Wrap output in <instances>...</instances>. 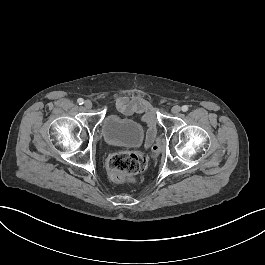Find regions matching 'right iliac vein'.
<instances>
[{"instance_id": "obj_1", "label": "right iliac vein", "mask_w": 265, "mask_h": 265, "mask_svg": "<svg viewBox=\"0 0 265 265\" xmlns=\"http://www.w3.org/2000/svg\"><path fill=\"white\" fill-rule=\"evenodd\" d=\"M84 106H85V108L90 109V108H92V102L90 100H86L84 102Z\"/></svg>"}]
</instances>
